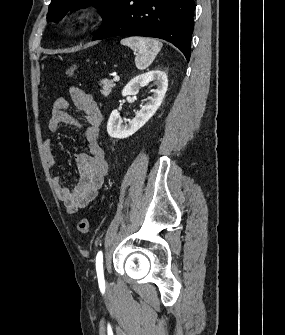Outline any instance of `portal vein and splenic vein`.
I'll use <instances>...</instances> for the list:
<instances>
[{"label":"portal vein and splenic vein","mask_w":285,"mask_h":335,"mask_svg":"<svg viewBox=\"0 0 285 335\" xmlns=\"http://www.w3.org/2000/svg\"><path fill=\"white\" fill-rule=\"evenodd\" d=\"M113 80H114V82H119L120 78H119V76H114Z\"/></svg>","instance_id":"1"}]
</instances>
